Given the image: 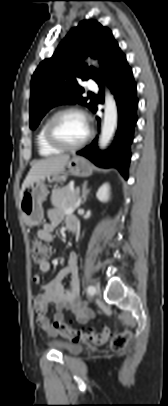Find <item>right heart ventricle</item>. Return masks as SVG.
Masks as SVG:
<instances>
[{"label": "right heart ventricle", "instance_id": "obj_1", "mask_svg": "<svg viewBox=\"0 0 168 406\" xmlns=\"http://www.w3.org/2000/svg\"><path fill=\"white\" fill-rule=\"evenodd\" d=\"M47 121H44L41 126L39 127L37 134H36V143L38 147L39 154L42 156H53L59 154L61 149L55 148L51 146L45 138V128Z\"/></svg>", "mask_w": 168, "mask_h": 406}]
</instances>
